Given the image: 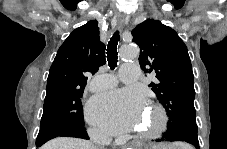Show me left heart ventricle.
Wrapping results in <instances>:
<instances>
[{"instance_id": "b2bd125f", "label": "left heart ventricle", "mask_w": 227, "mask_h": 149, "mask_svg": "<svg viewBox=\"0 0 227 149\" xmlns=\"http://www.w3.org/2000/svg\"><path fill=\"white\" fill-rule=\"evenodd\" d=\"M156 122V114L151 109H148L147 111L143 112V115L137 125V129L139 131H147L152 128Z\"/></svg>"}]
</instances>
